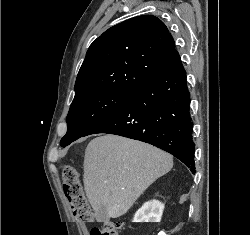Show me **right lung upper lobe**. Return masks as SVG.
Segmentation results:
<instances>
[{
  "label": "right lung upper lobe",
  "instance_id": "cb5924a9",
  "mask_svg": "<svg viewBox=\"0 0 250 235\" xmlns=\"http://www.w3.org/2000/svg\"><path fill=\"white\" fill-rule=\"evenodd\" d=\"M175 42L156 16L121 22L89 47L75 83L74 100L96 91L134 92L172 61Z\"/></svg>",
  "mask_w": 250,
  "mask_h": 235
}]
</instances>
